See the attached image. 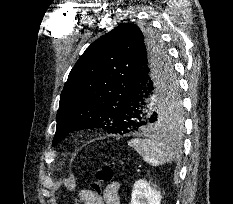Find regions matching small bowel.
Listing matches in <instances>:
<instances>
[{"label":"small bowel","mask_w":233,"mask_h":204,"mask_svg":"<svg viewBox=\"0 0 233 204\" xmlns=\"http://www.w3.org/2000/svg\"><path fill=\"white\" fill-rule=\"evenodd\" d=\"M78 200L83 204H121L119 185L116 182L109 184L100 195H93L89 190H81Z\"/></svg>","instance_id":"c3829d8e"}]
</instances>
